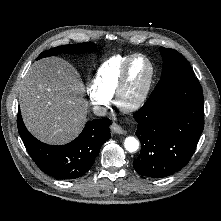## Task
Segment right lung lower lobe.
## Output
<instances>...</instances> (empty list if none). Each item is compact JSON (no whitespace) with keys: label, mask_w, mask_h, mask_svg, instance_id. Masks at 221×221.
Masks as SVG:
<instances>
[{"label":"right lung lower lobe","mask_w":221,"mask_h":221,"mask_svg":"<svg viewBox=\"0 0 221 221\" xmlns=\"http://www.w3.org/2000/svg\"><path fill=\"white\" fill-rule=\"evenodd\" d=\"M22 141L37 166L57 179H75L92 167L101 146L110 138L109 119L89 121L80 135L68 144L47 145L33 137L26 129L20 110L17 116Z\"/></svg>","instance_id":"98d812e1"}]
</instances>
